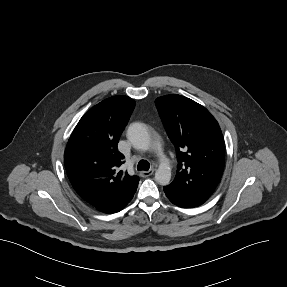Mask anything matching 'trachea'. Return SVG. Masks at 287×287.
<instances>
[{"instance_id": "1", "label": "trachea", "mask_w": 287, "mask_h": 287, "mask_svg": "<svg viewBox=\"0 0 287 287\" xmlns=\"http://www.w3.org/2000/svg\"><path fill=\"white\" fill-rule=\"evenodd\" d=\"M150 168V164L148 161L146 160H141L139 161L138 165H137V169L139 171H148Z\"/></svg>"}]
</instances>
